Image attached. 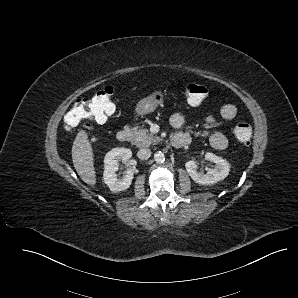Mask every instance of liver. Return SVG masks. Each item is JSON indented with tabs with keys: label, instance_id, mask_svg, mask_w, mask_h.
I'll list each match as a JSON object with an SVG mask.
<instances>
[{
	"label": "liver",
	"instance_id": "6515ba94",
	"mask_svg": "<svg viewBox=\"0 0 298 298\" xmlns=\"http://www.w3.org/2000/svg\"><path fill=\"white\" fill-rule=\"evenodd\" d=\"M72 160L81 179L89 185L95 183L90 144L84 132L78 133L72 146Z\"/></svg>",
	"mask_w": 298,
	"mask_h": 298
}]
</instances>
